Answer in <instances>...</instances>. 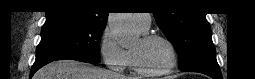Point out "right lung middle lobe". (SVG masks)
<instances>
[{"label":"right lung middle lobe","instance_id":"1","mask_svg":"<svg viewBox=\"0 0 255 79\" xmlns=\"http://www.w3.org/2000/svg\"><path fill=\"white\" fill-rule=\"evenodd\" d=\"M105 26L70 21L45 22L36 60L55 56H70L92 63L100 59V38Z\"/></svg>","mask_w":255,"mask_h":79}]
</instances>
